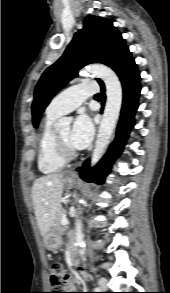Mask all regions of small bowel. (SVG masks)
<instances>
[{
    "label": "small bowel",
    "mask_w": 170,
    "mask_h": 293,
    "mask_svg": "<svg viewBox=\"0 0 170 293\" xmlns=\"http://www.w3.org/2000/svg\"><path fill=\"white\" fill-rule=\"evenodd\" d=\"M79 275L80 276H85V273L82 270H79ZM71 285H74L73 281H71Z\"/></svg>",
    "instance_id": "obj_1"
}]
</instances>
